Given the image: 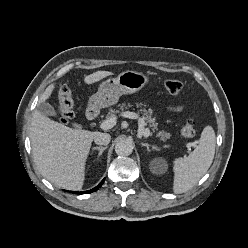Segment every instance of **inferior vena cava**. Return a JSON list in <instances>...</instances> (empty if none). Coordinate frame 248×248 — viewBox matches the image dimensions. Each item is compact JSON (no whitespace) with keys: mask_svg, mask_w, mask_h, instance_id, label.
<instances>
[{"mask_svg":"<svg viewBox=\"0 0 248 248\" xmlns=\"http://www.w3.org/2000/svg\"><path fill=\"white\" fill-rule=\"evenodd\" d=\"M111 136L107 133L97 132L94 136V142L98 145H108Z\"/></svg>","mask_w":248,"mask_h":248,"instance_id":"inferior-vena-cava-1","label":"inferior vena cava"}]
</instances>
